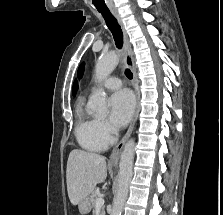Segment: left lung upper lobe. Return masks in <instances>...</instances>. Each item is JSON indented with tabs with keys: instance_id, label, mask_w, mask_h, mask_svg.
<instances>
[{
	"instance_id": "5c2ea615",
	"label": "left lung upper lobe",
	"mask_w": 223,
	"mask_h": 215,
	"mask_svg": "<svg viewBox=\"0 0 223 215\" xmlns=\"http://www.w3.org/2000/svg\"><path fill=\"white\" fill-rule=\"evenodd\" d=\"M84 71V63H82L78 69V76L81 78Z\"/></svg>"
}]
</instances>
